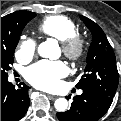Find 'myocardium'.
<instances>
[{
    "instance_id": "obj_1",
    "label": "myocardium",
    "mask_w": 121,
    "mask_h": 121,
    "mask_svg": "<svg viewBox=\"0 0 121 121\" xmlns=\"http://www.w3.org/2000/svg\"><path fill=\"white\" fill-rule=\"evenodd\" d=\"M85 50V41L78 34L62 41V51L65 57L71 61L81 60L85 54Z\"/></svg>"
}]
</instances>
